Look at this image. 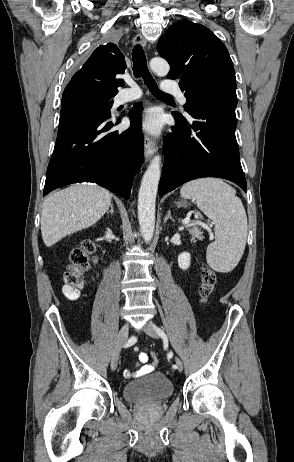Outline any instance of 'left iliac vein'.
Listing matches in <instances>:
<instances>
[{"mask_svg":"<svg viewBox=\"0 0 294 462\" xmlns=\"http://www.w3.org/2000/svg\"><path fill=\"white\" fill-rule=\"evenodd\" d=\"M144 332L147 333L149 336L153 337V338H159V335L155 329V325L152 323V322H148L144 328H143ZM176 366L178 369V371H182L183 370V364L181 362L180 359L176 358Z\"/></svg>","mask_w":294,"mask_h":462,"instance_id":"obj_1","label":"left iliac vein"}]
</instances>
